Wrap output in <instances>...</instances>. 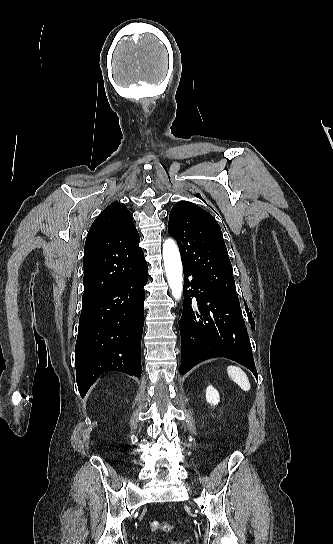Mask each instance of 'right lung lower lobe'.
<instances>
[{"label": "right lung lower lobe", "instance_id": "right-lung-lower-lobe-1", "mask_svg": "<svg viewBox=\"0 0 333 544\" xmlns=\"http://www.w3.org/2000/svg\"><path fill=\"white\" fill-rule=\"evenodd\" d=\"M147 263L108 292L83 302L75 347L76 380L84 397L106 371L139 377Z\"/></svg>", "mask_w": 333, "mask_h": 544}]
</instances>
